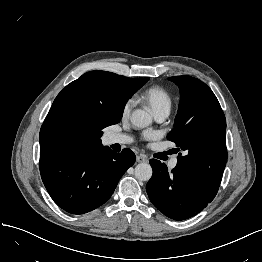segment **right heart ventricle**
I'll return each instance as SVG.
<instances>
[{"label":"right heart ventricle","mask_w":262,"mask_h":262,"mask_svg":"<svg viewBox=\"0 0 262 262\" xmlns=\"http://www.w3.org/2000/svg\"><path fill=\"white\" fill-rule=\"evenodd\" d=\"M142 99L147 102L154 114L163 109L170 110L172 106L171 95L159 86H152L146 89L142 94Z\"/></svg>","instance_id":"right-heart-ventricle-1"}]
</instances>
